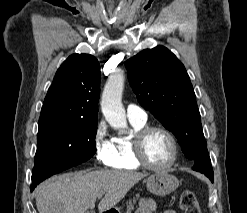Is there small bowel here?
I'll use <instances>...</instances> for the list:
<instances>
[{
	"instance_id": "obj_1",
	"label": "small bowel",
	"mask_w": 247,
	"mask_h": 213,
	"mask_svg": "<svg viewBox=\"0 0 247 213\" xmlns=\"http://www.w3.org/2000/svg\"><path fill=\"white\" fill-rule=\"evenodd\" d=\"M155 211V203L150 199H143L139 202V207L136 213H153ZM163 213H176L174 210L168 209Z\"/></svg>"
}]
</instances>
